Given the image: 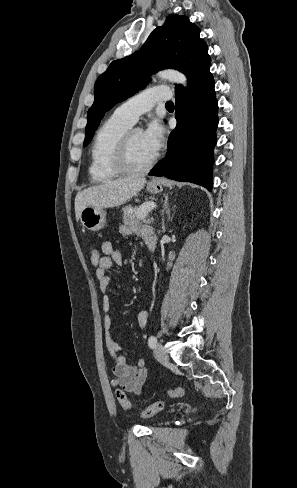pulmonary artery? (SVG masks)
I'll use <instances>...</instances> for the list:
<instances>
[{
    "label": "pulmonary artery",
    "instance_id": "obj_1",
    "mask_svg": "<svg viewBox=\"0 0 297 488\" xmlns=\"http://www.w3.org/2000/svg\"><path fill=\"white\" fill-rule=\"evenodd\" d=\"M170 99L169 89L160 86L150 87L126 100L114 113L133 125L139 116L148 112L155 103Z\"/></svg>",
    "mask_w": 297,
    "mask_h": 488
}]
</instances>
